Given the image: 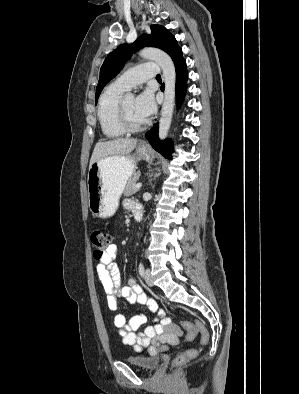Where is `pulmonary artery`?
I'll use <instances>...</instances> for the list:
<instances>
[{
	"label": "pulmonary artery",
	"mask_w": 299,
	"mask_h": 394,
	"mask_svg": "<svg viewBox=\"0 0 299 394\" xmlns=\"http://www.w3.org/2000/svg\"><path fill=\"white\" fill-rule=\"evenodd\" d=\"M159 73L158 64L145 63L124 72L117 78L116 83L127 91L148 79L156 77Z\"/></svg>",
	"instance_id": "e3ab8cb5"
}]
</instances>
